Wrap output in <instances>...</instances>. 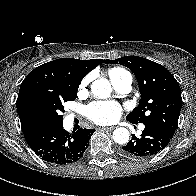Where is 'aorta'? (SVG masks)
<instances>
[{"label": "aorta", "instance_id": "aorta-1", "mask_svg": "<svg viewBox=\"0 0 196 196\" xmlns=\"http://www.w3.org/2000/svg\"><path fill=\"white\" fill-rule=\"evenodd\" d=\"M91 92L94 96L105 99L112 92L111 84L105 78L95 80L91 84ZM130 133L126 128L120 127L113 131V140L118 144H125L129 141Z\"/></svg>", "mask_w": 196, "mask_h": 196}]
</instances>
